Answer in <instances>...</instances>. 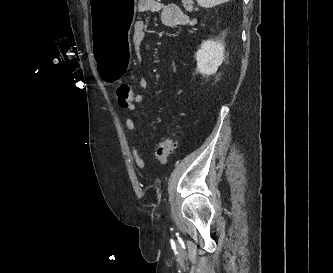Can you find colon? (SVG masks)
<instances>
[{"label": "colon", "mask_w": 333, "mask_h": 273, "mask_svg": "<svg viewBox=\"0 0 333 273\" xmlns=\"http://www.w3.org/2000/svg\"><path fill=\"white\" fill-rule=\"evenodd\" d=\"M117 97L119 105L123 109H128L136 104L135 95L131 87L127 84H122L117 88ZM176 147V139L174 136H169L161 140L156 146L154 156L160 163H166Z\"/></svg>", "instance_id": "obj_1"}]
</instances>
